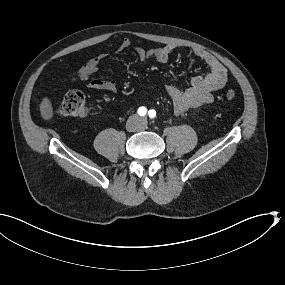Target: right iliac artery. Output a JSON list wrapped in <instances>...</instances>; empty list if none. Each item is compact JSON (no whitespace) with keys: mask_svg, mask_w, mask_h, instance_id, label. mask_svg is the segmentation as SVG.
Returning <instances> with one entry per match:
<instances>
[{"mask_svg":"<svg viewBox=\"0 0 285 285\" xmlns=\"http://www.w3.org/2000/svg\"><path fill=\"white\" fill-rule=\"evenodd\" d=\"M146 112H147V110H146L145 107H140V108L138 109V114H139L140 116H144V115L146 114Z\"/></svg>","mask_w":285,"mask_h":285,"instance_id":"1","label":"right iliac artery"}]
</instances>
